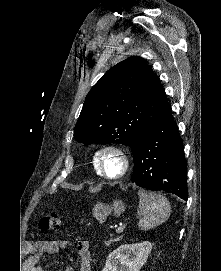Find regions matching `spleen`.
<instances>
[{
  "label": "spleen",
  "mask_w": 221,
  "mask_h": 271,
  "mask_svg": "<svg viewBox=\"0 0 221 271\" xmlns=\"http://www.w3.org/2000/svg\"><path fill=\"white\" fill-rule=\"evenodd\" d=\"M138 215L140 229H152L160 223H164L170 217L171 207L167 197L139 189Z\"/></svg>",
  "instance_id": "1"
}]
</instances>
